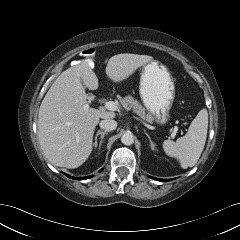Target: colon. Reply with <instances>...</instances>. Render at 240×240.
<instances>
[{
	"label": "colon",
	"instance_id": "1",
	"mask_svg": "<svg viewBox=\"0 0 240 240\" xmlns=\"http://www.w3.org/2000/svg\"><path fill=\"white\" fill-rule=\"evenodd\" d=\"M82 55L86 58H91L95 55V49L88 48L82 51Z\"/></svg>",
	"mask_w": 240,
	"mask_h": 240
}]
</instances>
